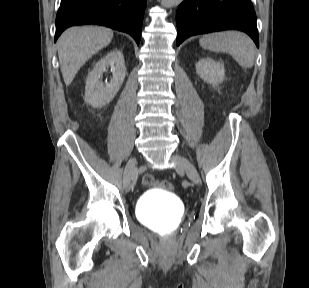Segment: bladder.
Listing matches in <instances>:
<instances>
[{"label": "bladder", "mask_w": 309, "mask_h": 288, "mask_svg": "<svg viewBox=\"0 0 309 288\" xmlns=\"http://www.w3.org/2000/svg\"><path fill=\"white\" fill-rule=\"evenodd\" d=\"M138 220L145 226L161 230L176 228L184 217L178 198L165 190H150L136 202Z\"/></svg>", "instance_id": "31cf9c89"}]
</instances>
